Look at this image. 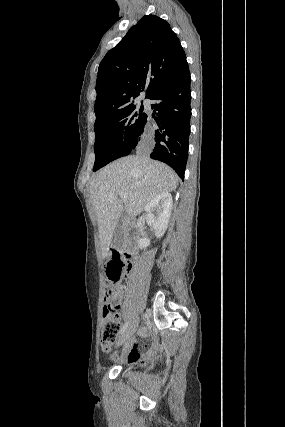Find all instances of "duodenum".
Segmentation results:
<instances>
[{"label": "duodenum", "mask_w": 285, "mask_h": 427, "mask_svg": "<svg viewBox=\"0 0 285 427\" xmlns=\"http://www.w3.org/2000/svg\"><path fill=\"white\" fill-rule=\"evenodd\" d=\"M126 227H127L128 233H131L132 232V224L127 223ZM119 252H121L123 257L126 259H131L133 257V255H134V239L131 236H129L127 238L125 247Z\"/></svg>", "instance_id": "obj_1"}]
</instances>
